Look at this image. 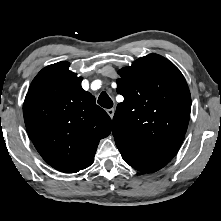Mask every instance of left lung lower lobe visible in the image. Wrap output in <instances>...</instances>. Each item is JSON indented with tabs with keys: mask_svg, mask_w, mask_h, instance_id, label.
<instances>
[{
	"mask_svg": "<svg viewBox=\"0 0 221 221\" xmlns=\"http://www.w3.org/2000/svg\"><path fill=\"white\" fill-rule=\"evenodd\" d=\"M117 147L124 161L141 172L152 173L161 169L167 164L164 162L145 159L123 145H117Z\"/></svg>",
	"mask_w": 221,
	"mask_h": 221,
	"instance_id": "0a47b994",
	"label": "left lung lower lobe"
}]
</instances>
